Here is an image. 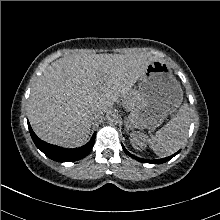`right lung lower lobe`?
Wrapping results in <instances>:
<instances>
[{"label": "right lung lower lobe", "mask_w": 220, "mask_h": 220, "mask_svg": "<svg viewBox=\"0 0 220 220\" xmlns=\"http://www.w3.org/2000/svg\"><path fill=\"white\" fill-rule=\"evenodd\" d=\"M28 128L37 148L40 149L47 157L58 162H73L84 158L90 153L95 142L96 134L94 133L91 140L84 146L76 149H65L40 140L33 132L29 123Z\"/></svg>", "instance_id": "98d812e1"}]
</instances>
